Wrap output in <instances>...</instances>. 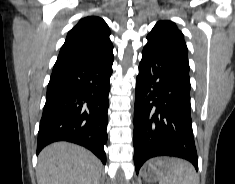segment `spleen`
I'll list each match as a JSON object with an SVG mask.
<instances>
[{"label": "spleen", "instance_id": "1", "mask_svg": "<svg viewBox=\"0 0 235 184\" xmlns=\"http://www.w3.org/2000/svg\"><path fill=\"white\" fill-rule=\"evenodd\" d=\"M170 170L165 178H160L159 184H199L194 166L186 160L169 158Z\"/></svg>", "mask_w": 235, "mask_h": 184}]
</instances>
